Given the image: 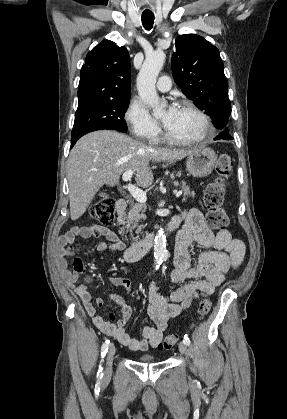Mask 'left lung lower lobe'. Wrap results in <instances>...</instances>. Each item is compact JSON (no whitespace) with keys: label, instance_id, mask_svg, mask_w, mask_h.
Segmentation results:
<instances>
[{"label":"left lung lower lobe","instance_id":"obj_1","mask_svg":"<svg viewBox=\"0 0 287 419\" xmlns=\"http://www.w3.org/2000/svg\"><path fill=\"white\" fill-rule=\"evenodd\" d=\"M228 128H229V126L222 129V132L218 136H216L214 138V140H219V139L232 140L233 137L228 133L229 132Z\"/></svg>","mask_w":287,"mask_h":419}]
</instances>
